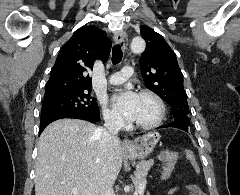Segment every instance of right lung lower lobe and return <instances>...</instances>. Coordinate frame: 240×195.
<instances>
[{
  "label": "right lung lower lobe",
  "instance_id": "right-lung-lower-lobe-1",
  "mask_svg": "<svg viewBox=\"0 0 240 195\" xmlns=\"http://www.w3.org/2000/svg\"><path fill=\"white\" fill-rule=\"evenodd\" d=\"M63 118L83 119L92 123H96L99 120V113H90V112L66 113V114H59V115L43 118L41 119L39 134H41V132L45 129V127L48 124H50L55 120L63 119Z\"/></svg>",
  "mask_w": 240,
  "mask_h": 195
}]
</instances>
